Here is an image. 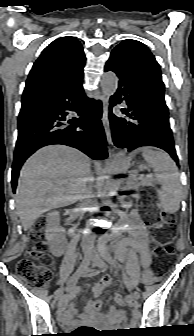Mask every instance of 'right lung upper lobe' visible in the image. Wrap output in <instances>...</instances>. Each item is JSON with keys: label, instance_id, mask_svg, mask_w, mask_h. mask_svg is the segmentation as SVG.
Masks as SVG:
<instances>
[{"label": "right lung upper lobe", "instance_id": "cb5924a9", "mask_svg": "<svg viewBox=\"0 0 194 336\" xmlns=\"http://www.w3.org/2000/svg\"><path fill=\"white\" fill-rule=\"evenodd\" d=\"M85 55L74 37H62L49 44L34 63L22 102L52 93L83 74Z\"/></svg>", "mask_w": 194, "mask_h": 336}]
</instances>
